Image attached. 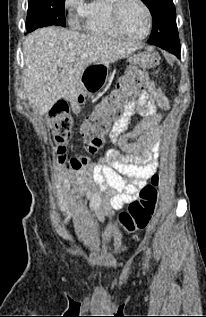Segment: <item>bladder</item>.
Returning a JSON list of instances; mask_svg holds the SVG:
<instances>
[{
	"label": "bladder",
	"mask_w": 206,
	"mask_h": 317,
	"mask_svg": "<svg viewBox=\"0 0 206 317\" xmlns=\"http://www.w3.org/2000/svg\"><path fill=\"white\" fill-rule=\"evenodd\" d=\"M117 249H118L119 251H124V250H125V246H124L123 244H118V245H117Z\"/></svg>",
	"instance_id": "bladder-1"
}]
</instances>
